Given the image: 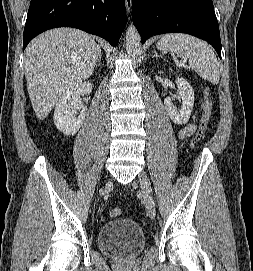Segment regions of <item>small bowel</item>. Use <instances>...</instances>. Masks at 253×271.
I'll use <instances>...</instances> for the list:
<instances>
[{
	"label": "small bowel",
	"mask_w": 253,
	"mask_h": 271,
	"mask_svg": "<svg viewBox=\"0 0 253 271\" xmlns=\"http://www.w3.org/2000/svg\"><path fill=\"white\" fill-rule=\"evenodd\" d=\"M197 129V124L195 122L188 123L184 125L178 132V137L184 139L190 137L195 133Z\"/></svg>",
	"instance_id": "1"
}]
</instances>
